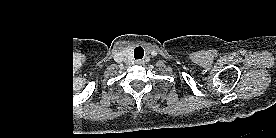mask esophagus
I'll return each mask as SVG.
<instances>
[{
    "instance_id": "34e87169",
    "label": "esophagus",
    "mask_w": 276,
    "mask_h": 138,
    "mask_svg": "<svg viewBox=\"0 0 276 138\" xmlns=\"http://www.w3.org/2000/svg\"><path fill=\"white\" fill-rule=\"evenodd\" d=\"M135 63L138 64V65H143L144 64V60H137Z\"/></svg>"
}]
</instances>
